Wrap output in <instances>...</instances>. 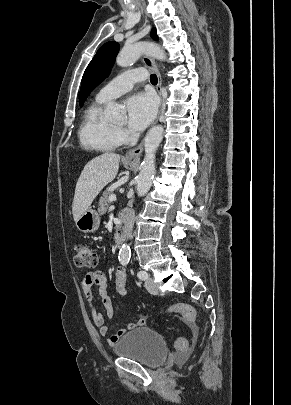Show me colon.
I'll return each mask as SVG.
<instances>
[{
  "label": "colon",
  "mask_w": 291,
  "mask_h": 405,
  "mask_svg": "<svg viewBox=\"0 0 291 405\" xmlns=\"http://www.w3.org/2000/svg\"><path fill=\"white\" fill-rule=\"evenodd\" d=\"M73 263L77 268H94L97 265V256L92 247L87 243H78L74 248ZM115 287L119 294L126 293V274L122 268L115 273ZM168 311L178 313L189 324L198 323L195 309L187 304H175L169 307ZM176 349L183 351L188 347V341L184 337L175 340Z\"/></svg>",
  "instance_id": "5ec220e1"
}]
</instances>
